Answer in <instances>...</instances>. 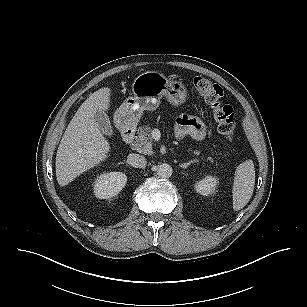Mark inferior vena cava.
<instances>
[{"instance_id":"1","label":"inferior vena cava","mask_w":307,"mask_h":307,"mask_svg":"<svg viewBox=\"0 0 307 307\" xmlns=\"http://www.w3.org/2000/svg\"><path fill=\"white\" fill-rule=\"evenodd\" d=\"M128 163L136 168H144L146 166V158L143 155L140 154H129L128 155Z\"/></svg>"}]
</instances>
